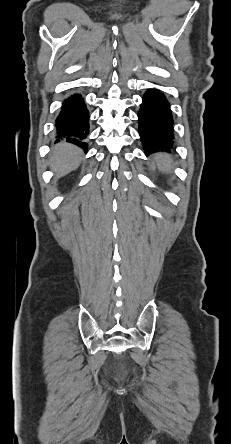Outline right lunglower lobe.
<instances>
[{
	"label": "right lung lower lobe",
	"mask_w": 231,
	"mask_h": 444,
	"mask_svg": "<svg viewBox=\"0 0 231 444\" xmlns=\"http://www.w3.org/2000/svg\"><path fill=\"white\" fill-rule=\"evenodd\" d=\"M89 112L81 95L74 94L64 101L56 119V134L67 142L87 149L85 138L89 133Z\"/></svg>",
	"instance_id": "obj_1"
}]
</instances>
